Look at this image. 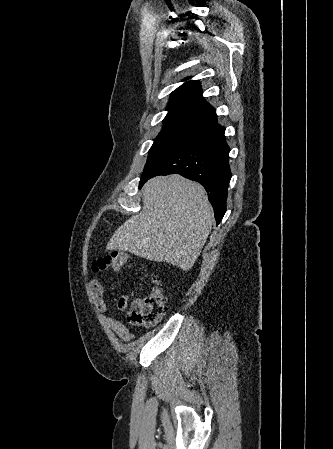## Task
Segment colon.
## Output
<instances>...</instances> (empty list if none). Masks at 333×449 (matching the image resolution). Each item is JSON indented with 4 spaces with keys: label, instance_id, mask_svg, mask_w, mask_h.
<instances>
[{
    "label": "colon",
    "instance_id": "colon-1",
    "mask_svg": "<svg viewBox=\"0 0 333 449\" xmlns=\"http://www.w3.org/2000/svg\"><path fill=\"white\" fill-rule=\"evenodd\" d=\"M129 256L123 252H112L93 261V272L118 271L126 265ZM158 279H156L157 282ZM166 308L163 289L156 285L142 299H138L128 311L127 319L135 326L153 327L162 318Z\"/></svg>",
    "mask_w": 333,
    "mask_h": 449
}]
</instances>
